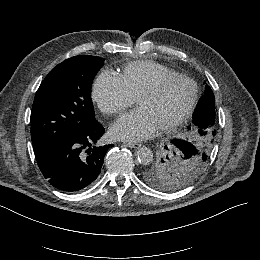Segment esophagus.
Instances as JSON below:
<instances>
[{
    "label": "esophagus",
    "mask_w": 260,
    "mask_h": 260,
    "mask_svg": "<svg viewBox=\"0 0 260 260\" xmlns=\"http://www.w3.org/2000/svg\"><path fill=\"white\" fill-rule=\"evenodd\" d=\"M124 144L130 148H139L141 145L135 142H124Z\"/></svg>",
    "instance_id": "obj_1"
}]
</instances>
